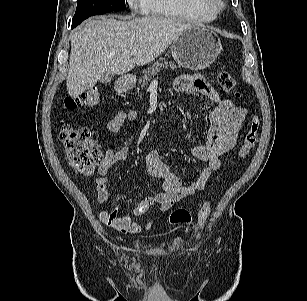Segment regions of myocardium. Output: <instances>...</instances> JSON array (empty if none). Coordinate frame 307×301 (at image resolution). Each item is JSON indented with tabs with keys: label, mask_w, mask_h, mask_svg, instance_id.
Returning <instances> with one entry per match:
<instances>
[{
	"label": "myocardium",
	"mask_w": 307,
	"mask_h": 301,
	"mask_svg": "<svg viewBox=\"0 0 307 301\" xmlns=\"http://www.w3.org/2000/svg\"><path fill=\"white\" fill-rule=\"evenodd\" d=\"M195 1L202 6H206L208 8L213 9L217 13L225 7L224 0H195Z\"/></svg>",
	"instance_id": "obj_1"
}]
</instances>
